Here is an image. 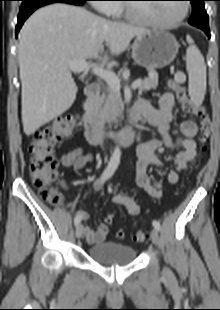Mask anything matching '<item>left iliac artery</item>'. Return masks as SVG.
Returning <instances> with one entry per match:
<instances>
[{
  "instance_id": "obj_1",
  "label": "left iliac artery",
  "mask_w": 220,
  "mask_h": 310,
  "mask_svg": "<svg viewBox=\"0 0 220 310\" xmlns=\"http://www.w3.org/2000/svg\"><path fill=\"white\" fill-rule=\"evenodd\" d=\"M152 225L154 226L155 229H157L158 231L161 230V225L159 221L154 220L152 222Z\"/></svg>"
}]
</instances>
